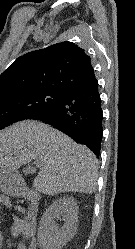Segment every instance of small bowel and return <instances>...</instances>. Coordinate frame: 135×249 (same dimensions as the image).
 <instances>
[{"label": "small bowel", "mask_w": 135, "mask_h": 249, "mask_svg": "<svg viewBox=\"0 0 135 249\" xmlns=\"http://www.w3.org/2000/svg\"><path fill=\"white\" fill-rule=\"evenodd\" d=\"M0 209L8 211H17L22 213L25 217L20 218L14 213L12 214L11 232L17 238H22L27 242H20L17 249H36V211L22 206L14 205L11 200L4 195H0ZM3 246V233L0 230V249Z\"/></svg>", "instance_id": "1"}]
</instances>
